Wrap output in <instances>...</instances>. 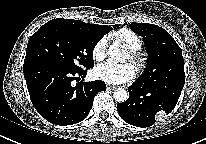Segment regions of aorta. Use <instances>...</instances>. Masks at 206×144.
Wrapping results in <instances>:
<instances>
[{"label":"aorta","instance_id":"obj_1","mask_svg":"<svg viewBox=\"0 0 206 144\" xmlns=\"http://www.w3.org/2000/svg\"><path fill=\"white\" fill-rule=\"evenodd\" d=\"M107 54L109 57L116 60L117 62H123L127 57V53L124 46L117 42L113 43L109 47V49L107 50ZM128 98L129 93L125 89L118 88L114 91V99L117 102H125Z\"/></svg>","mask_w":206,"mask_h":144}]
</instances>
